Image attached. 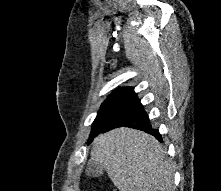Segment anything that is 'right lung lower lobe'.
Returning a JSON list of instances; mask_svg holds the SVG:
<instances>
[{"label":"right lung lower lobe","instance_id":"98d812e1","mask_svg":"<svg viewBox=\"0 0 221 191\" xmlns=\"http://www.w3.org/2000/svg\"><path fill=\"white\" fill-rule=\"evenodd\" d=\"M123 126L145 131L162 142L159 131L152 129L149 117L134 91L128 93L112 106L102 122L98 135ZM92 140L88 141V144Z\"/></svg>","mask_w":221,"mask_h":191}]
</instances>
